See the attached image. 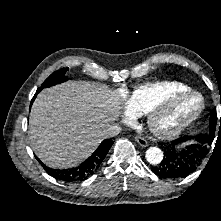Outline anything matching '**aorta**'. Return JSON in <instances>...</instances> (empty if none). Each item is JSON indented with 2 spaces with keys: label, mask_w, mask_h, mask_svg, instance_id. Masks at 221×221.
<instances>
[{
  "label": "aorta",
  "mask_w": 221,
  "mask_h": 221,
  "mask_svg": "<svg viewBox=\"0 0 221 221\" xmlns=\"http://www.w3.org/2000/svg\"><path fill=\"white\" fill-rule=\"evenodd\" d=\"M145 157L150 164L157 165L163 160V152L157 147H150L147 149Z\"/></svg>",
  "instance_id": "aorta-1"
}]
</instances>
